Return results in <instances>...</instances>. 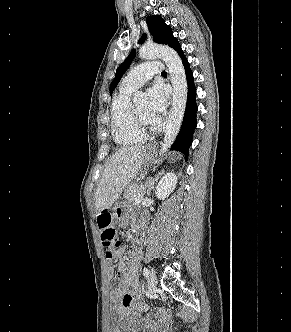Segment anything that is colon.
Returning a JSON list of instances; mask_svg holds the SVG:
<instances>
[{
    "mask_svg": "<svg viewBox=\"0 0 291 332\" xmlns=\"http://www.w3.org/2000/svg\"><path fill=\"white\" fill-rule=\"evenodd\" d=\"M98 226L101 232V240L107 258H113L115 249L119 242L114 228V218L109 211L102 212L98 217ZM163 313V312H162ZM118 331L116 326H113L111 332Z\"/></svg>",
    "mask_w": 291,
    "mask_h": 332,
    "instance_id": "colon-1",
    "label": "colon"
}]
</instances>
